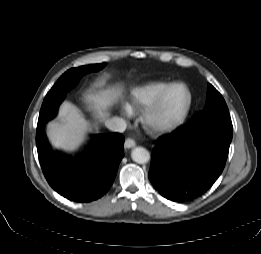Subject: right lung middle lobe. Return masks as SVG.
Here are the masks:
<instances>
[{"label":"right lung middle lobe","instance_id":"1","mask_svg":"<svg viewBox=\"0 0 261 254\" xmlns=\"http://www.w3.org/2000/svg\"><path fill=\"white\" fill-rule=\"evenodd\" d=\"M106 63L81 66L79 68H73L65 72L58 81L54 84L51 90L47 93L45 99H50L62 94H65L71 90L77 81L85 74L90 72H96L104 68Z\"/></svg>","mask_w":261,"mask_h":254}]
</instances>
